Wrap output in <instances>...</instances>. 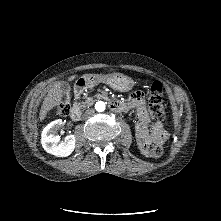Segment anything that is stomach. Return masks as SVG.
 I'll use <instances>...</instances> for the list:
<instances>
[{"mask_svg":"<svg viewBox=\"0 0 221 221\" xmlns=\"http://www.w3.org/2000/svg\"><path fill=\"white\" fill-rule=\"evenodd\" d=\"M79 81L83 82L86 87L94 86L99 82H105L110 87L118 91H130L134 86V81L122 73H113L106 76L86 74L77 80V82Z\"/></svg>","mask_w":221,"mask_h":221,"instance_id":"0dacf381","label":"stomach"}]
</instances>
